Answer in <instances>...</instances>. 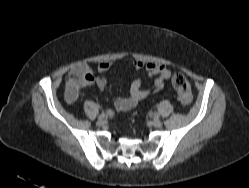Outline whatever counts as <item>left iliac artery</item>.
<instances>
[{
  "label": "left iliac artery",
  "instance_id": "left-iliac-artery-1",
  "mask_svg": "<svg viewBox=\"0 0 249 188\" xmlns=\"http://www.w3.org/2000/svg\"><path fill=\"white\" fill-rule=\"evenodd\" d=\"M153 116H154V119L155 118H157V119L159 118V114L158 113H154Z\"/></svg>",
  "mask_w": 249,
  "mask_h": 188
}]
</instances>
